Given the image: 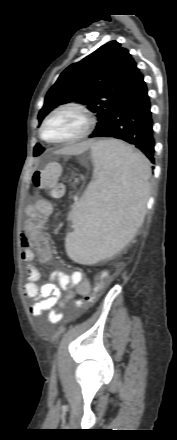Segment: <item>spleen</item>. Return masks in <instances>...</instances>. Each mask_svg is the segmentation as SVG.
<instances>
[{"label": "spleen", "instance_id": "1", "mask_svg": "<svg viewBox=\"0 0 177 440\" xmlns=\"http://www.w3.org/2000/svg\"><path fill=\"white\" fill-rule=\"evenodd\" d=\"M95 180L70 215L68 256L83 264L111 257L124 248L142 225L150 164L125 144L99 141L92 148Z\"/></svg>", "mask_w": 177, "mask_h": 440}]
</instances>
